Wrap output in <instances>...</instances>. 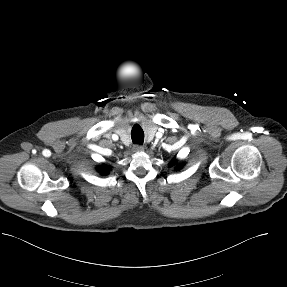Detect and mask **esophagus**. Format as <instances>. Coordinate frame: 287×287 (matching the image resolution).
<instances>
[{"label":"esophagus","instance_id":"esophagus-1","mask_svg":"<svg viewBox=\"0 0 287 287\" xmlns=\"http://www.w3.org/2000/svg\"><path fill=\"white\" fill-rule=\"evenodd\" d=\"M132 150H133V152H140L143 150V147L139 144H136L133 146Z\"/></svg>","mask_w":287,"mask_h":287}]
</instances>
